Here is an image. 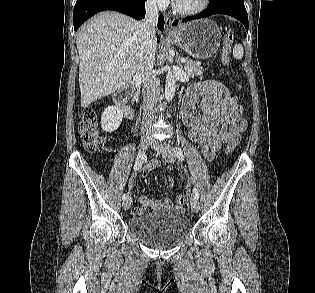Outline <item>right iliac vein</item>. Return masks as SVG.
I'll use <instances>...</instances> for the list:
<instances>
[{"mask_svg":"<svg viewBox=\"0 0 315 293\" xmlns=\"http://www.w3.org/2000/svg\"><path fill=\"white\" fill-rule=\"evenodd\" d=\"M151 139L149 137H142L140 140V151L145 152L148 147L151 145ZM132 205V198L129 197L123 202V209L128 210Z\"/></svg>","mask_w":315,"mask_h":293,"instance_id":"right-iliac-vein-1","label":"right iliac vein"}]
</instances>
